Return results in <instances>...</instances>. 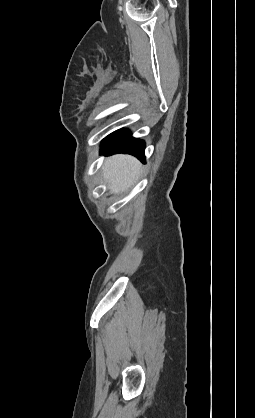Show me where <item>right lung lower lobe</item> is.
I'll return each instance as SVG.
<instances>
[{"label":"right lung lower lobe","mask_w":255,"mask_h":418,"mask_svg":"<svg viewBox=\"0 0 255 418\" xmlns=\"http://www.w3.org/2000/svg\"><path fill=\"white\" fill-rule=\"evenodd\" d=\"M145 142L133 138L127 129H121L108 135L101 144V153H128L136 156L141 161H145L144 155Z\"/></svg>","instance_id":"98d812e1"}]
</instances>
